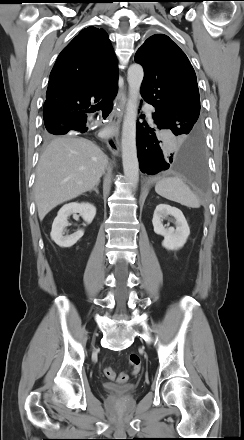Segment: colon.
Returning <instances> with one entry per match:
<instances>
[{"mask_svg":"<svg viewBox=\"0 0 244 440\" xmlns=\"http://www.w3.org/2000/svg\"><path fill=\"white\" fill-rule=\"evenodd\" d=\"M129 362H130L131 366L133 367L134 373H138L140 371V368H141V359H140V357L137 354L132 353L129 356ZM104 374H105L107 379H109V380L116 379L117 383H119V384H124L128 380V375L126 373H120L116 377V373H115V371L111 367L105 368Z\"/></svg>","mask_w":244,"mask_h":440,"instance_id":"5ec220e1","label":"colon"}]
</instances>
